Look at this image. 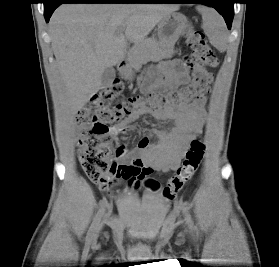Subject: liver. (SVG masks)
I'll return each instance as SVG.
<instances>
[{
    "label": "liver",
    "mask_w": 279,
    "mask_h": 267,
    "mask_svg": "<svg viewBox=\"0 0 279 267\" xmlns=\"http://www.w3.org/2000/svg\"><path fill=\"white\" fill-rule=\"evenodd\" d=\"M177 5L64 4L50 20L52 50L75 114L101 88L105 68L123 60L127 39L139 43ZM125 27L124 35L116 31Z\"/></svg>",
    "instance_id": "6515ba94"
}]
</instances>
